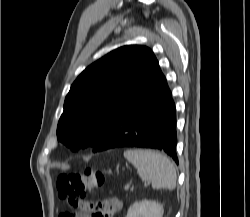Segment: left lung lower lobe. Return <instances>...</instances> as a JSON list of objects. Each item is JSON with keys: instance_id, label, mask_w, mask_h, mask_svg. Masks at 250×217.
<instances>
[{"instance_id": "1", "label": "left lung lower lobe", "mask_w": 250, "mask_h": 217, "mask_svg": "<svg viewBox=\"0 0 250 217\" xmlns=\"http://www.w3.org/2000/svg\"><path fill=\"white\" fill-rule=\"evenodd\" d=\"M176 111L158 61L133 91L93 152L119 147L165 151L176 163Z\"/></svg>"}]
</instances>
